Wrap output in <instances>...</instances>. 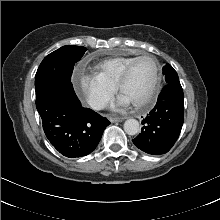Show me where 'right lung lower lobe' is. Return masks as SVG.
<instances>
[{
  "instance_id": "1",
  "label": "right lung lower lobe",
  "mask_w": 220,
  "mask_h": 220,
  "mask_svg": "<svg viewBox=\"0 0 220 220\" xmlns=\"http://www.w3.org/2000/svg\"><path fill=\"white\" fill-rule=\"evenodd\" d=\"M44 132L62 155L70 158L90 154L110 122L81 106L70 85H56L36 96Z\"/></svg>"
}]
</instances>
